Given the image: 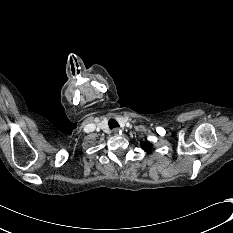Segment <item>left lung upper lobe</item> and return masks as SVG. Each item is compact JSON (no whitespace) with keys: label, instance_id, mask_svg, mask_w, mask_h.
Here are the masks:
<instances>
[{"label":"left lung upper lobe","instance_id":"5c2ea615","mask_svg":"<svg viewBox=\"0 0 233 233\" xmlns=\"http://www.w3.org/2000/svg\"><path fill=\"white\" fill-rule=\"evenodd\" d=\"M142 148H143L144 151H146V152H151L153 146H152V144H151L150 142L146 141V142H143V143H142Z\"/></svg>","mask_w":233,"mask_h":233}]
</instances>
